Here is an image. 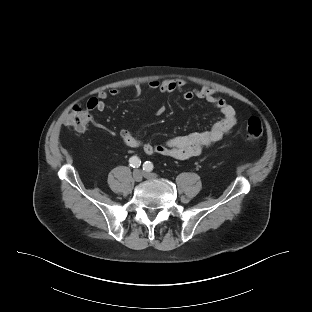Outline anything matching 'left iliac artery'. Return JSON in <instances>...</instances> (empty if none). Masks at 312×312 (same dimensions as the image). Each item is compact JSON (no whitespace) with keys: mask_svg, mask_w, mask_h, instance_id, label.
Listing matches in <instances>:
<instances>
[{"mask_svg":"<svg viewBox=\"0 0 312 312\" xmlns=\"http://www.w3.org/2000/svg\"><path fill=\"white\" fill-rule=\"evenodd\" d=\"M143 170L147 171V172H150L153 170V164L150 162V161H146L144 164H143Z\"/></svg>","mask_w":312,"mask_h":312,"instance_id":"1","label":"left iliac artery"}]
</instances>
